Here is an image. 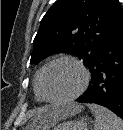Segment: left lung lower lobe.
Segmentation results:
<instances>
[{"label": "left lung lower lobe", "instance_id": "left-lung-lower-lobe-1", "mask_svg": "<svg viewBox=\"0 0 123 130\" xmlns=\"http://www.w3.org/2000/svg\"><path fill=\"white\" fill-rule=\"evenodd\" d=\"M89 69L91 85L77 102L99 104L123 119V23Z\"/></svg>", "mask_w": 123, "mask_h": 130}]
</instances>
